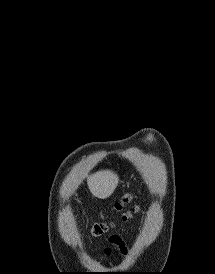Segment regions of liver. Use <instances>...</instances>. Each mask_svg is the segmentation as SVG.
Returning a JSON list of instances; mask_svg holds the SVG:
<instances>
[{
  "label": "liver",
  "instance_id": "obj_1",
  "mask_svg": "<svg viewBox=\"0 0 215 274\" xmlns=\"http://www.w3.org/2000/svg\"><path fill=\"white\" fill-rule=\"evenodd\" d=\"M88 187L93 196L106 199L115 190L118 184V176L109 171H99L87 179Z\"/></svg>",
  "mask_w": 215,
  "mask_h": 274
}]
</instances>
